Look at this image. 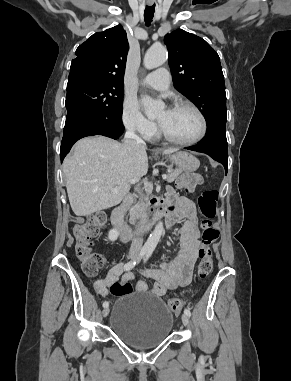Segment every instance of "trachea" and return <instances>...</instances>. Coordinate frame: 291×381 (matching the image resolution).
<instances>
[{
	"label": "trachea",
	"instance_id": "3493384b",
	"mask_svg": "<svg viewBox=\"0 0 291 381\" xmlns=\"http://www.w3.org/2000/svg\"><path fill=\"white\" fill-rule=\"evenodd\" d=\"M154 11H155V4L152 6H146L144 11V20L146 25H150V23L152 22Z\"/></svg>",
	"mask_w": 291,
	"mask_h": 381
}]
</instances>
